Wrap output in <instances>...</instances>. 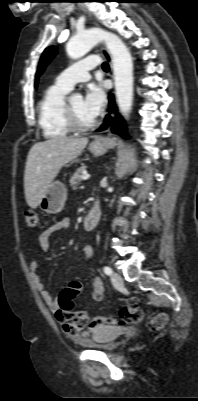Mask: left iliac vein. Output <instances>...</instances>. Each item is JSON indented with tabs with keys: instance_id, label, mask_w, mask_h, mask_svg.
Returning <instances> with one entry per match:
<instances>
[{
	"instance_id": "4c4485c4",
	"label": "left iliac vein",
	"mask_w": 198,
	"mask_h": 401,
	"mask_svg": "<svg viewBox=\"0 0 198 401\" xmlns=\"http://www.w3.org/2000/svg\"><path fill=\"white\" fill-rule=\"evenodd\" d=\"M111 281H112V284H113L115 287H117V288H120V287H122V285H123L122 277H121V275H120L119 273H117V272H113V273L111 274Z\"/></svg>"
}]
</instances>
